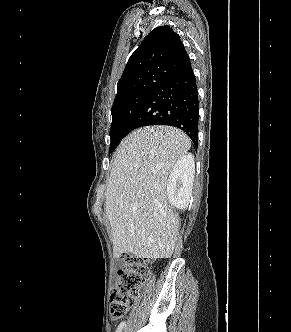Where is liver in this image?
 Segmentation results:
<instances>
[{
    "mask_svg": "<svg viewBox=\"0 0 291 332\" xmlns=\"http://www.w3.org/2000/svg\"><path fill=\"white\" fill-rule=\"evenodd\" d=\"M190 147V138L170 126L139 128L121 142L105 203L115 256H172L180 225L167 201V179Z\"/></svg>",
    "mask_w": 291,
    "mask_h": 332,
    "instance_id": "liver-1",
    "label": "liver"
}]
</instances>
